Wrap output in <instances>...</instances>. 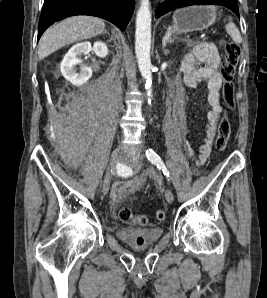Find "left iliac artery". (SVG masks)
Returning a JSON list of instances; mask_svg holds the SVG:
<instances>
[{"label": "left iliac artery", "mask_w": 267, "mask_h": 298, "mask_svg": "<svg viewBox=\"0 0 267 298\" xmlns=\"http://www.w3.org/2000/svg\"><path fill=\"white\" fill-rule=\"evenodd\" d=\"M146 157L147 159L154 165L157 166V168L159 170H161L163 172V174L168 178L169 180V177H170V174H169V171L166 167V165L164 164L163 160L160 158V156L155 152L153 151L152 149H147L146 152Z\"/></svg>", "instance_id": "left-iliac-artery-1"}]
</instances>
